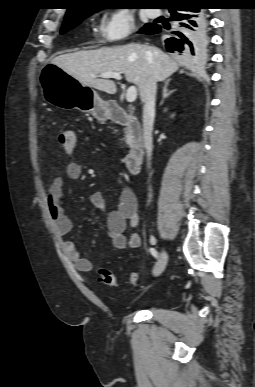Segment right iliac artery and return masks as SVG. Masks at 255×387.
<instances>
[{"label":"right iliac artery","mask_w":255,"mask_h":387,"mask_svg":"<svg viewBox=\"0 0 255 387\" xmlns=\"http://www.w3.org/2000/svg\"><path fill=\"white\" fill-rule=\"evenodd\" d=\"M149 251L155 258L158 257V252L154 248H150Z\"/></svg>","instance_id":"82829eb1"}]
</instances>
